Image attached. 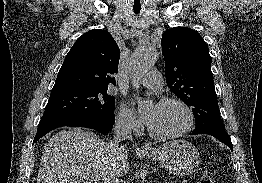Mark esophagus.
Segmentation results:
<instances>
[{"label": "esophagus", "mask_w": 262, "mask_h": 183, "mask_svg": "<svg viewBox=\"0 0 262 183\" xmlns=\"http://www.w3.org/2000/svg\"><path fill=\"white\" fill-rule=\"evenodd\" d=\"M141 149H142V150H147L148 147H147V146H142Z\"/></svg>", "instance_id": "34e87169"}]
</instances>
